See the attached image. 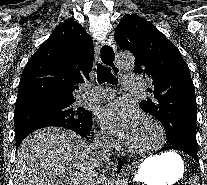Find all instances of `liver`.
Here are the masks:
<instances>
[{"label": "liver", "instance_id": "obj_1", "mask_svg": "<svg viewBox=\"0 0 207 185\" xmlns=\"http://www.w3.org/2000/svg\"><path fill=\"white\" fill-rule=\"evenodd\" d=\"M96 155L80 135L44 127L22 141L14 163V185H93Z\"/></svg>", "mask_w": 207, "mask_h": 185}]
</instances>
